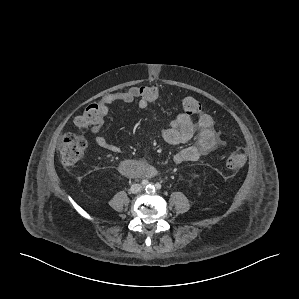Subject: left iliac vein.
Listing matches in <instances>:
<instances>
[{"mask_svg": "<svg viewBox=\"0 0 299 299\" xmlns=\"http://www.w3.org/2000/svg\"><path fill=\"white\" fill-rule=\"evenodd\" d=\"M150 187H151V188H150ZM152 187H153L152 185L148 186V188H149L150 190H152Z\"/></svg>", "mask_w": 299, "mask_h": 299, "instance_id": "left-iliac-vein-1", "label": "left iliac vein"}]
</instances>
